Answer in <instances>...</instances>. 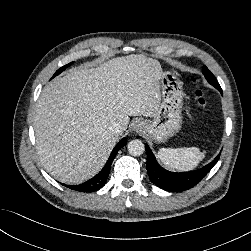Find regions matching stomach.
<instances>
[{"mask_svg": "<svg viewBox=\"0 0 251 251\" xmlns=\"http://www.w3.org/2000/svg\"><path fill=\"white\" fill-rule=\"evenodd\" d=\"M161 104L152 120L142 121L145 132L156 142H165L182 125V82L174 72H164L160 79Z\"/></svg>", "mask_w": 251, "mask_h": 251, "instance_id": "0dacf381", "label": "stomach"}]
</instances>
